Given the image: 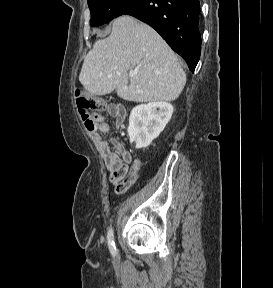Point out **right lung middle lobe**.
Here are the masks:
<instances>
[{
	"instance_id": "1",
	"label": "right lung middle lobe",
	"mask_w": 273,
	"mask_h": 288,
	"mask_svg": "<svg viewBox=\"0 0 273 288\" xmlns=\"http://www.w3.org/2000/svg\"><path fill=\"white\" fill-rule=\"evenodd\" d=\"M135 0H88L91 12V26L108 23L112 19L123 15Z\"/></svg>"
}]
</instances>
